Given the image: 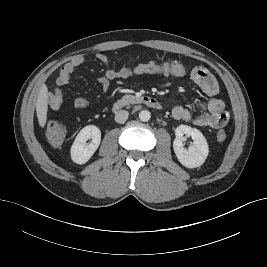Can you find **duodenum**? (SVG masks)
<instances>
[{
  "label": "duodenum",
  "mask_w": 267,
  "mask_h": 267,
  "mask_svg": "<svg viewBox=\"0 0 267 267\" xmlns=\"http://www.w3.org/2000/svg\"><path fill=\"white\" fill-rule=\"evenodd\" d=\"M129 105H145L147 107H150L156 110H160L162 108L161 103L155 97L138 96V97L121 98L117 100L113 105V109L115 111H118Z\"/></svg>",
  "instance_id": "410a0bca"
}]
</instances>
